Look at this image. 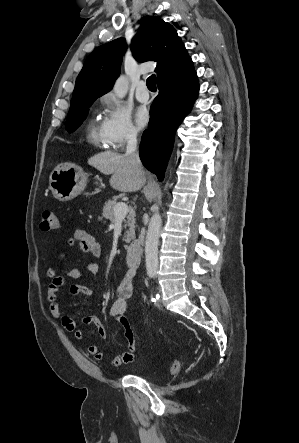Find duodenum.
<instances>
[{
	"instance_id": "obj_1",
	"label": "duodenum",
	"mask_w": 299,
	"mask_h": 443,
	"mask_svg": "<svg viewBox=\"0 0 299 443\" xmlns=\"http://www.w3.org/2000/svg\"><path fill=\"white\" fill-rule=\"evenodd\" d=\"M142 257V244L140 240H134L127 248V264L130 266H137L140 264Z\"/></svg>"
}]
</instances>
